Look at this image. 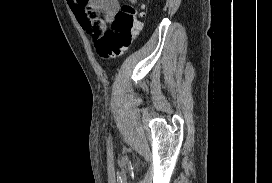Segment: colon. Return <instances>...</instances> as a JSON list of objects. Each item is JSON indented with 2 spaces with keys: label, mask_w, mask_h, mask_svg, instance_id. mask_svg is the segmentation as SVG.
Masks as SVG:
<instances>
[{
  "label": "colon",
  "mask_w": 272,
  "mask_h": 183,
  "mask_svg": "<svg viewBox=\"0 0 272 183\" xmlns=\"http://www.w3.org/2000/svg\"><path fill=\"white\" fill-rule=\"evenodd\" d=\"M142 15L141 9L130 4L122 5L110 29L95 37V49L99 57L111 60L122 56L131 47L141 28Z\"/></svg>",
  "instance_id": "colon-1"
}]
</instances>
